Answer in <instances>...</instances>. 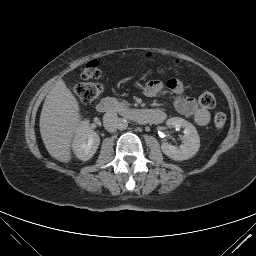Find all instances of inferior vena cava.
I'll return each instance as SVG.
<instances>
[{"instance_id":"602c4592","label":"inferior vena cava","mask_w":256,"mask_h":256,"mask_svg":"<svg viewBox=\"0 0 256 256\" xmlns=\"http://www.w3.org/2000/svg\"><path fill=\"white\" fill-rule=\"evenodd\" d=\"M119 118L116 112L109 111L103 116V124L107 131L115 132L118 129Z\"/></svg>"}]
</instances>
